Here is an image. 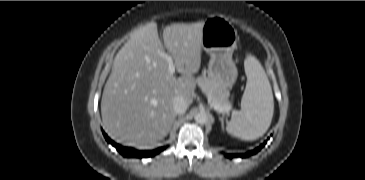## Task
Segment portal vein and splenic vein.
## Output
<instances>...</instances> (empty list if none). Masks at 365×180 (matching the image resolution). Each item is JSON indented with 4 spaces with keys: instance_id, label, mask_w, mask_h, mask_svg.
Masks as SVG:
<instances>
[{
    "instance_id": "1",
    "label": "portal vein and splenic vein",
    "mask_w": 365,
    "mask_h": 180,
    "mask_svg": "<svg viewBox=\"0 0 365 180\" xmlns=\"http://www.w3.org/2000/svg\"><path fill=\"white\" fill-rule=\"evenodd\" d=\"M160 55L167 60V62H168V71L171 75H173L175 73V65H174L172 57L170 55H168L167 53H165V52H161ZM210 106L213 107L215 110H217L219 112H222V113H224V112L228 113L229 110H230V107L223 108V107L219 106L218 104H216L214 102H211Z\"/></svg>"
}]
</instances>
